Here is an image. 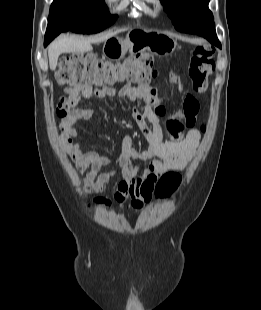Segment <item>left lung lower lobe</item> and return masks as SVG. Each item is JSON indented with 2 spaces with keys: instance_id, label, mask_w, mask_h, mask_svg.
<instances>
[{
  "instance_id": "obj_1",
  "label": "left lung lower lobe",
  "mask_w": 261,
  "mask_h": 310,
  "mask_svg": "<svg viewBox=\"0 0 261 310\" xmlns=\"http://www.w3.org/2000/svg\"><path fill=\"white\" fill-rule=\"evenodd\" d=\"M193 34H197L203 36L212 44L221 47L220 42L217 39L216 32H215V25L214 22H201L200 25L193 29Z\"/></svg>"
}]
</instances>
